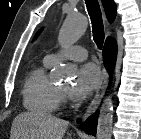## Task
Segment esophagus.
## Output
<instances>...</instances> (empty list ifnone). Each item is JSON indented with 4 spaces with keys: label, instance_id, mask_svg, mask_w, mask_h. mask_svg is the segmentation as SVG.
Returning a JSON list of instances; mask_svg holds the SVG:
<instances>
[{
    "label": "esophagus",
    "instance_id": "34e87169",
    "mask_svg": "<svg viewBox=\"0 0 141 139\" xmlns=\"http://www.w3.org/2000/svg\"><path fill=\"white\" fill-rule=\"evenodd\" d=\"M105 23L106 26L108 27L109 23L107 22L106 18H105ZM107 36H110V31L108 29H107ZM107 85H108V72L105 68H103L100 84L98 86V89L96 91L93 100L91 101L90 105L88 106L87 110L84 113L83 116L84 120H86L89 116H91L100 105V102L105 94Z\"/></svg>",
    "mask_w": 141,
    "mask_h": 139
}]
</instances>
